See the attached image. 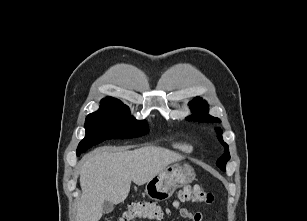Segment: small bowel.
I'll return each instance as SVG.
<instances>
[{
	"label": "small bowel",
	"instance_id": "1",
	"mask_svg": "<svg viewBox=\"0 0 307 221\" xmlns=\"http://www.w3.org/2000/svg\"><path fill=\"white\" fill-rule=\"evenodd\" d=\"M179 215L180 217L186 219L187 221H202L203 218L200 212L192 213L187 208H180Z\"/></svg>",
	"mask_w": 307,
	"mask_h": 221
}]
</instances>
